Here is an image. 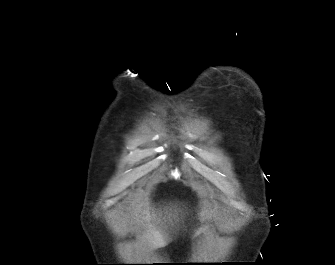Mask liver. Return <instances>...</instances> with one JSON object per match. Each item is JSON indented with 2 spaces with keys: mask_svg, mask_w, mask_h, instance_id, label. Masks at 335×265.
Listing matches in <instances>:
<instances>
[{
  "mask_svg": "<svg viewBox=\"0 0 335 265\" xmlns=\"http://www.w3.org/2000/svg\"><path fill=\"white\" fill-rule=\"evenodd\" d=\"M156 215H153L154 222L150 223V215L147 212L146 221L147 228L149 229V239L154 248L163 247L167 244L166 237L162 234L160 229H157L156 225L160 223V219H155Z\"/></svg>",
  "mask_w": 335,
  "mask_h": 265,
  "instance_id": "6515ba94",
  "label": "liver"
}]
</instances>
